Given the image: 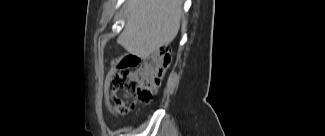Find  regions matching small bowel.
Here are the masks:
<instances>
[{
  "label": "small bowel",
  "instance_id": "c3829d8e",
  "mask_svg": "<svg viewBox=\"0 0 325 136\" xmlns=\"http://www.w3.org/2000/svg\"><path fill=\"white\" fill-rule=\"evenodd\" d=\"M143 58L139 57L138 53H122L120 62H112L109 72L107 74V79L105 80L103 96L104 98H113L114 93L117 92V88L120 87V83H125L127 75H130L131 72H134L137 68V64H142ZM107 106L110 108L109 102Z\"/></svg>",
  "mask_w": 325,
  "mask_h": 136
}]
</instances>
